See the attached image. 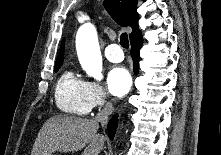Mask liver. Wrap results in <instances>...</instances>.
I'll return each mask as SVG.
<instances>
[{
    "label": "liver",
    "mask_w": 221,
    "mask_h": 155,
    "mask_svg": "<svg viewBox=\"0 0 221 155\" xmlns=\"http://www.w3.org/2000/svg\"><path fill=\"white\" fill-rule=\"evenodd\" d=\"M95 120L75 116L56 115L49 118L40 129L32 155H51L54 152H75L83 148V155H98L105 137L97 134Z\"/></svg>",
    "instance_id": "liver-1"
}]
</instances>
